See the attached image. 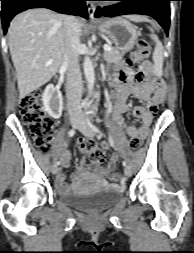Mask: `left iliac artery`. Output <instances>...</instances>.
<instances>
[{
	"mask_svg": "<svg viewBox=\"0 0 194 253\" xmlns=\"http://www.w3.org/2000/svg\"><path fill=\"white\" fill-rule=\"evenodd\" d=\"M87 122H88L89 126L93 129L94 132L101 133V131L95 125L92 124V122L90 121L89 118L87 119ZM122 164L124 167L127 166V163L125 161H123Z\"/></svg>",
	"mask_w": 194,
	"mask_h": 253,
	"instance_id": "left-iliac-artery-1",
	"label": "left iliac artery"
}]
</instances>
